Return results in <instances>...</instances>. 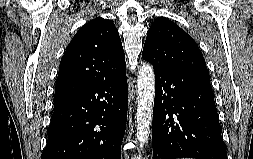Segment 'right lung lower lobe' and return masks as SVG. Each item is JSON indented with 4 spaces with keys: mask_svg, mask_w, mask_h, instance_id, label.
<instances>
[{
    "mask_svg": "<svg viewBox=\"0 0 253 159\" xmlns=\"http://www.w3.org/2000/svg\"><path fill=\"white\" fill-rule=\"evenodd\" d=\"M126 69L54 107L42 159H121Z\"/></svg>",
    "mask_w": 253,
    "mask_h": 159,
    "instance_id": "98d812e1",
    "label": "right lung lower lobe"
}]
</instances>
